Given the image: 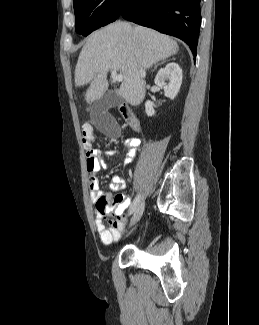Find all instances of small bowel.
<instances>
[{"instance_id": "1", "label": "small bowel", "mask_w": 259, "mask_h": 325, "mask_svg": "<svg viewBox=\"0 0 259 325\" xmlns=\"http://www.w3.org/2000/svg\"><path fill=\"white\" fill-rule=\"evenodd\" d=\"M140 145V140L135 137L125 139L124 146L127 149L123 160L125 165L130 164L136 156ZM113 150H98L89 148L86 151V167L88 173V186L90 198L96 205L95 228L98 232L100 241L104 245H110L120 238L126 224L125 211L129 206V199L119 192L125 188L126 182L119 175H113L110 183L111 192H104L100 189L97 175L103 166H109L104 160L105 157L112 156ZM114 213L115 219L109 221V227L104 225V218Z\"/></svg>"}]
</instances>
